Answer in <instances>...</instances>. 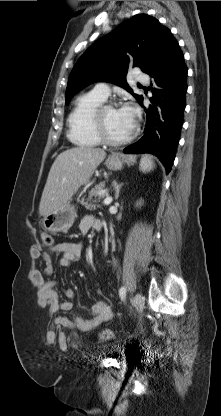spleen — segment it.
<instances>
[{
	"instance_id": "spleen-1",
	"label": "spleen",
	"mask_w": 221,
	"mask_h": 416,
	"mask_svg": "<svg viewBox=\"0 0 221 416\" xmlns=\"http://www.w3.org/2000/svg\"><path fill=\"white\" fill-rule=\"evenodd\" d=\"M155 167L152 158L149 155H144L140 160V170L142 172H149Z\"/></svg>"
}]
</instances>
